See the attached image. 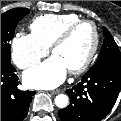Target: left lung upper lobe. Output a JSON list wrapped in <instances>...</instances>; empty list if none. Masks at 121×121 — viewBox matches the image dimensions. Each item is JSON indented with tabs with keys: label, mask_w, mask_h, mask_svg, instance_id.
<instances>
[{
	"label": "left lung upper lobe",
	"mask_w": 121,
	"mask_h": 121,
	"mask_svg": "<svg viewBox=\"0 0 121 121\" xmlns=\"http://www.w3.org/2000/svg\"><path fill=\"white\" fill-rule=\"evenodd\" d=\"M105 37L97 62L90 68L95 69L107 65H121V53L110 32L103 27Z\"/></svg>",
	"instance_id": "5c2ea615"
}]
</instances>
